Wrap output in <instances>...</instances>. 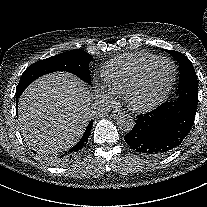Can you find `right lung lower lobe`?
Returning <instances> with one entry per match:
<instances>
[{"label":"right lung lower lobe","mask_w":207,"mask_h":207,"mask_svg":"<svg viewBox=\"0 0 207 207\" xmlns=\"http://www.w3.org/2000/svg\"><path fill=\"white\" fill-rule=\"evenodd\" d=\"M17 104H18V102H16V108H17ZM92 124H93V121H91L88 124L83 137L81 138V140L72 149H70L68 152H65V154L57 156V158H51L50 159L51 162L62 163L63 161H65L69 157L71 158L75 153L79 152L83 148V146H85V142L87 141V139H88V137L90 135V130L92 128ZM34 153L36 154V152H34Z\"/></svg>","instance_id":"98d812e1"}]
</instances>
